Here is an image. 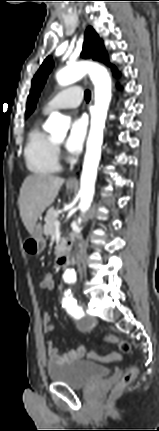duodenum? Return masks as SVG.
Segmentation results:
<instances>
[{
	"label": "duodenum",
	"instance_id": "1",
	"mask_svg": "<svg viewBox=\"0 0 159 431\" xmlns=\"http://www.w3.org/2000/svg\"><path fill=\"white\" fill-rule=\"evenodd\" d=\"M82 253V244L79 238H71L63 251L56 259V265L59 267L66 266L76 260Z\"/></svg>",
	"mask_w": 159,
	"mask_h": 431
}]
</instances>
